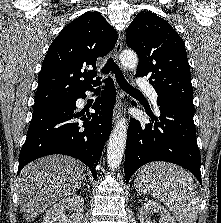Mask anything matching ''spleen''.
<instances>
[{
	"mask_svg": "<svg viewBox=\"0 0 221 223\" xmlns=\"http://www.w3.org/2000/svg\"><path fill=\"white\" fill-rule=\"evenodd\" d=\"M135 188L163 202L179 223H196L199 195L192 176L183 168L165 162L143 166L135 178Z\"/></svg>",
	"mask_w": 221,
	"mask_h": 223,
	"instance_id": "1",
	"label": "spleen"
}]
</instances>
